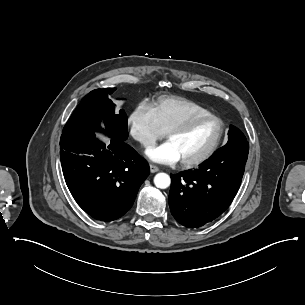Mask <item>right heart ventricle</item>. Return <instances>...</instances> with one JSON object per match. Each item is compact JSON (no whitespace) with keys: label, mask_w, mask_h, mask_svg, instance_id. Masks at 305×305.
<instances>
[{"label":"right heart ventricle","mask_w":305,"mask_h":305,"mask_svg":"<svg viewBox=\"0 0 305 305\" xmlns=\"http://www.w3.org/2000/svg\"><path fill=\"white\" fill-rule=\"evenodd\" d=\"M152 107L163 131L186 118L206 114L209 111L201 105L177 96H163L153 101Z\"/></svg>","instance_id":"e07e8e85"}]
</instances>
